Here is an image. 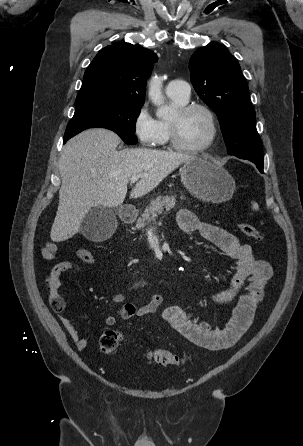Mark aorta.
<instances>
[{
	"mask_svg": "<svg viewBox=\"0 0 303 446\" xmlns=\"http://www.w3.org/2000/svg\"><path fill=\"white\" fill-rule=\"evenodd\" d=\"M149 98L158 107L157 116L168 118L172 114V109L165 105L162 94V81L157 76L153 77L149 83Z\"/></svg>",
	"mask_w": 303,
	"mask_h": 446,
	"instance_id": "1",
	"label": "aorta"
}]
</instances>
